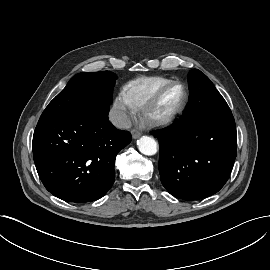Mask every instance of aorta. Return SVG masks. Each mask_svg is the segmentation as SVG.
Returning a JSON list of instances; mask_svg holds the SVG:
<instances>
[{"label": "aorta", "mask_w": 270, "mask_h": 270, "mask_svg": "<svg viewBox=\"0 0 270 270\" xmlns=\"http://www.w3.org/2000/svg\"><path fill=\"white\" fill-rule=\"evenodd\" d=\"M138 149L144 155H154L157 152V142L149 136H142L138 142Z\"/></svg>", "instance_id": "aorta-1"}]
</instances>
